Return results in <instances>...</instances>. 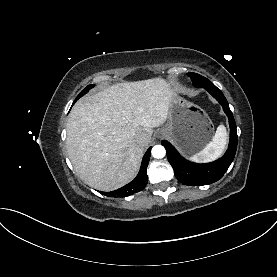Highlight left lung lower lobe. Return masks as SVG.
I'll return each mask as SVG.
<instances>
[{"instance_id": "1", "label": "left lung lower lobe", "mask_w": 277, "mask_h": 277, "mask_svg": "<svg viewBox=\"0 0 277 277\" xmlns=\"http://www.w3.org/2000/svg\"><path fill=\"white\" fill-rule=\"evenodd\" d=\"M218 102L222 105L228 116L230 125V142L224 156L212 163L196 164L185 160L177 150L166 140L161 143L166 148L167 158L174 169L176 178L183 184L189 186H202L218 181L227 171L232 163L237 149L236 124L228 102L220 89L212 82L203 85Z\"/></svg>"}]
</instances>
